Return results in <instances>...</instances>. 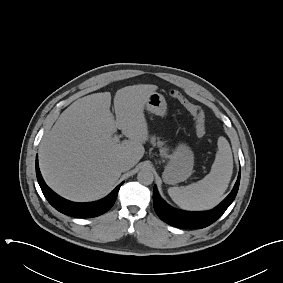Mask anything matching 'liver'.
<instances>
[{"instance_id":"6515ba94","label":"liver","mask_w":283,"mask_h":283,"mask_svg":"<svg viewBox=\"0 0 283 283\" xmlns=\"http://www.w3.org/2000/svg\"><path fill=\"white\" fill-rule=\"evenodd\" d=\"M156 85L140 84L117 90L116 120L111 93H94L73 102L43 137L39 148L41 173L62 197L87 202L107 195L121 176L119 162L135 166L148 139L144 107ZM117 129L128 138L116 141Z\"/></svg>"}]
</instances>
